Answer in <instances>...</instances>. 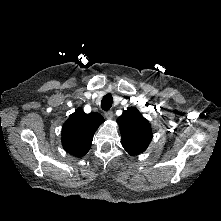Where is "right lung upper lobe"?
I'll use <instances>...</instances> for the list:
<instances>
[{"instance_id":"cb5924a9","label":"right lung upper lobe","mask_w":221,"mask_h":221,"mask_svg":"<svg viewBox=\"0 0 221 221\" xmlns=\"http://www.w3.org/2000/svg\"><path fill=\"white\" fill-rule=\"evenodd\" d=\"M104 118L99 113L86 114L75 110L62 127V145L69 154L82 157L90 149L93 135Z\"/></svg>"}]
</instances>
